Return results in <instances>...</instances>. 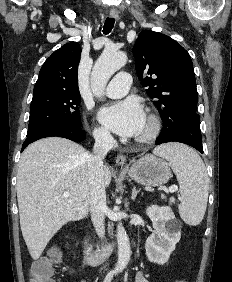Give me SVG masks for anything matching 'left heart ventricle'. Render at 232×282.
<instances>
[{
  "label": "left heart ventricle",
  "instance_id": "obj_1",
  "mask_svg": "<svg viewBox=\"0 0 232 282\" xmlns=\"http://www.w3.org/2000/svg\"><path fill=\"white\" fill-rule=\"evenodd\" d=\"M146 128H147V121L145 120L144 126H143V128L141 129V131H140V133L138 134V136L141 135V134H143V133L146 131Z\"/></svg>",
  "mask_w": 232,
  "mask_h": 282
}]
</instances>
